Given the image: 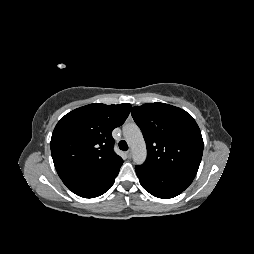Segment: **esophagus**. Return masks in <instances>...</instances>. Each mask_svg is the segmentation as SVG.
I'll return each instance as SVG.
<instances>
[{
	"instance_id": "obj_1",
	"label": "esophagus",
	"mask_w": 254,
	"mask_h": 254,
	"mask_svg": "<svg viewBox=\"0 0 254 254\" xmlns=\"http://www.w3.org/2000/svg\"><path fill=\"white\" fill-rule=\"evenodd\" d=\"M127 157L130 159L132 158V151L131 150H128L127 151Z\"/></svg>"
}]
</instances>
